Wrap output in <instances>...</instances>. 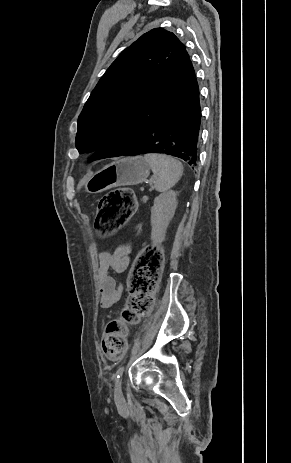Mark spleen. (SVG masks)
<instances>
[{"mask_svg": "<svg viewBox=\"0 0 291 463\" xmlns=\"http://www.w3.org/2000/svg\"><path fill=\"white\" fill-rule=\"evenodd\" d=\"M144 158L156 176L155 189L159 192L169 190L183 174V165L172 157L162 154H146Z\"/></svg>", "mask_w": 291, "mask_h": 463, "instance_id": "1", "label": "spleen"}]
</instances>
